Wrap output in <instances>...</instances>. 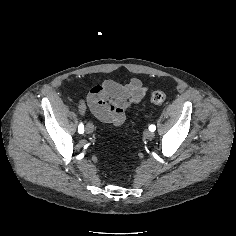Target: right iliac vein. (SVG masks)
Returning a JSON list of instances; mask_svg holds the SVG:
<instances>
[{
  "instance_id": "obj_1",
  "label": "right iliac vein",
  "mask_w": 236,
  "mask_h": 236,
  "mask_svg": "<svg viewBox=\"0 0 236 236\" xmlns=\"http://www.w3.org/2000/svg\"><path fill=\"white\" fill-rule=\"evenodd\" d=\"M85 130H86V133H88V134L92 133L94 131V125L92 123H88L86 125V129Z\"/></svg>"
}]
</instances>
